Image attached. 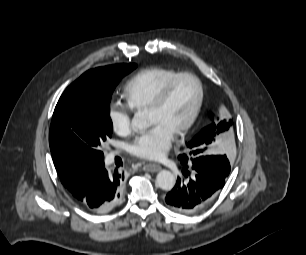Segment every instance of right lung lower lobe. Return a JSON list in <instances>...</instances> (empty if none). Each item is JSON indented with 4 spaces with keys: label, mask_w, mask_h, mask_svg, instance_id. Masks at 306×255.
Masks as SVG:
<instances>
[{
    "label": "right lung lower lobe",
    "mask_w": 306,
    "mask_h": 255,
    "mask_svg": "<svg viewBox=\"0 0 306 255\" xmlns=\"http://www.w3.org/2000/svg\"><path fill=\"white\" fill-rule=\"evenodd\" d=\"M124 175L108 172L104 165L89 167L70 191L77 203L90 212L107 213L120 201Z\"/></svg>",
    "instance_id": "98d812e1"
}]
</instances>
